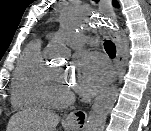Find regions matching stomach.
Instances as JSON below:
<instances>
[{
  "label": "stomach",
  "mask_w": 151,
  "mask_h": 131,
  "mask_svg": "<svg viewBox=\"0 0 151 131\" xmlns=\"http://www.w3.org/2000/svg\"><path fill=\"white\" fill-rule=\"evenodd\" d=\"M69 128L73 129L74 127L73 126H69Z\"/></svg>",
  "instance_id": "stomach-1"
}]
</instances>
